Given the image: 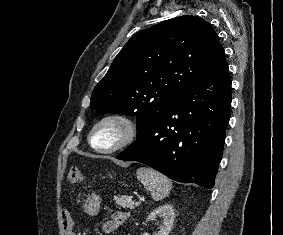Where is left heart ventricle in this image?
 Instances as JSON below:
<instances>
[{"label":"left heart ventricle","mask_w":283,"mask_h":235,"mask_svg":"<svg viewBox=\"0 0 283 235\" xmlns=\"http://www.w3.org/2000/svg\"><path fill=\"white\" fill-rule=\"evenodd\" d=\"M123 133L122 126L115 122L102 125L94 136V143L102 148L115 144Z\"/></svg>","instance_id":"1"}]
</instances>
